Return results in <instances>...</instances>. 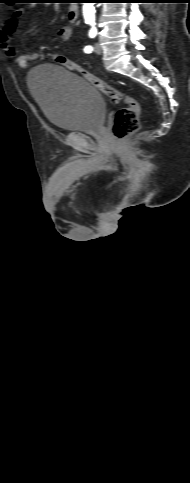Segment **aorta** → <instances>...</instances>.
<instances>
[{
  "label": "aorta",
  "mask_w": 190,
  "mask_h": 483,
  "mask_svg": "<svg viewBox=\"0 0 190 483\" xmlns=\"http://www.w3.org/2000/svg\"><path fill=\"white\" fill-rule=\"evenodd\" d=\"M83 15L86 21H93L95 18L94 3H83Z\"/></svg>",
  "instance_id": "762f6f07"
}]
</instances>
